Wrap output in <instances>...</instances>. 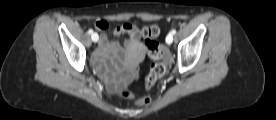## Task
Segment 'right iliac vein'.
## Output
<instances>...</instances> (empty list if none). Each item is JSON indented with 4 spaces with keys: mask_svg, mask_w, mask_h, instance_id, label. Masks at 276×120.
Masks as SVG:
<instances>
[{
    "mask_svg": "<svg viewBox=\"0 0 276 120\" xmlns=\"http://www.w3.org/2000/svg\"><path fill=\"white\" fill-rule=\"evenodd\" d=\"M92 40L94 42H97L98 41V34L97 33H93L92 36H91Z\"/></svg>",
    "mask_w": 276,
    "mask_h": 120,
    "instance_id": "63e3f726",
    "label": "right iliac vein"
}]
</instances>
